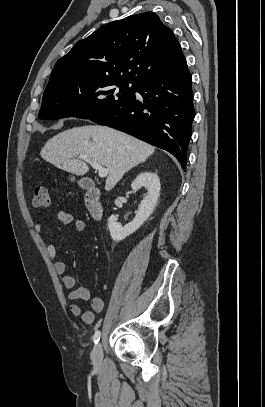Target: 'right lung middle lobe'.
Segmentation results:
<instances>
[{"instance_id":"1","label":"right lung middle lobe","mask_w":265,"mask_h":407,"mask_svg":"<svg viewBox=\"0 0 265 407\" xmlns=\"http://www.w3.org/2000/svg\"><path fill=\"white\" fill-rule=\"evenodd\" d=\"M138 84L123 80L88 79L48 83L39 112L41 119H93L130 103Z\"/></svg>"}]
</instances>
